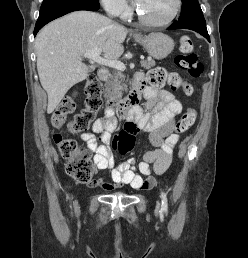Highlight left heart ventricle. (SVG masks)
<instances>
[{
	"instance_id": "1",
	"label": "left heart ventricle",
	"mask_w": 248,
	"mask_h": 258,
	"mask_svg": "<svg viewBox=\"0 0 248 258\" xmlns=\"http://www.w3.org/2000/svg\"><path fill=\"white\" fill-rule=\"evenodd\" d=\"M136 2L140 13L152 21L166 20L176 7V0H138Z\"/></svg>"
}]
</instances>
